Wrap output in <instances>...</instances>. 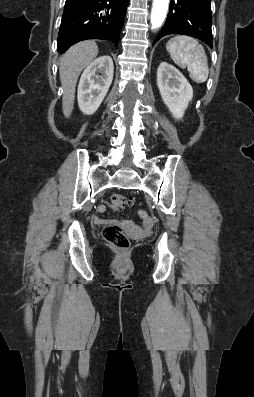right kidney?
<instances>
[{"label":"right kidney","mask_w":254,"mask_h":397,"mask_svg":"<svg viewBox=\"0 0 254 397\" xmlns=\"http://www.w3.org/2000/svg\"><path fill=\"white\" fill-rule=\"evenodd\" d=\"M113 72V61L108 55L95 59L84 70L78 85V105L84 114H93L99 108L112 83Z\"/></svg>","instance_id":"ca27d5eb"}]
</instances>
